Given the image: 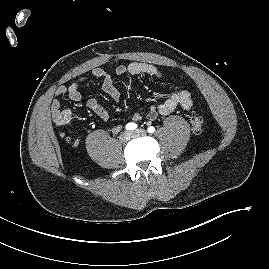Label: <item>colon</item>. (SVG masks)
I'll return each mask as SVG.
<instances>
[{
  "mask_svg": "<svg viewBox=\"0 0 269 269\" xmlns=\"http://www.w3.org/2000/svg\"><path fill=\"white\" fill-rule=\"evenodd\" d=\"M64 121H68V117H64ZM190 124H191V129L195 134H199L202 132L203 127H204V120L201 116L199 115H192L190 118Z\"/></svg>",
  "mask_w": 269,
  "mask_h": 269,
  "instance_id": "5ec220e1",
  "label": "colon"
}]
</instances>
